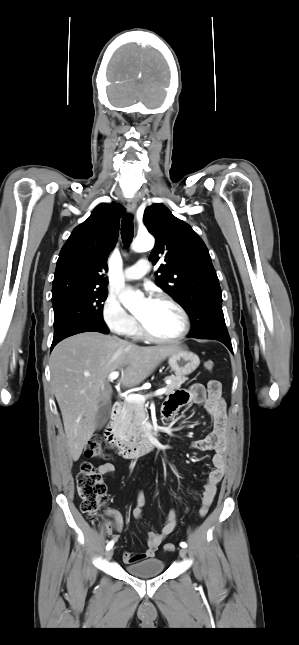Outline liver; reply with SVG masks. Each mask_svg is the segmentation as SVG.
<instances>
[{
  "instance_id": "liver-1",
  "label": "liver",
  "mask_w": 299,
  "mask_h": 645,
  "mask_svg": "<svg viewBox=\"0 0 299 645\" xmlns=\"http://www.w3.org/2000/svg\"><path fill=\"white\" fill-rule=\"evenodd\" d=\"M180 349L177 344L137 346L98 332L78 334L55 346L50 356L51 385L74 461L97 427L99 407L110 400L109 374L120 371L118 383L137 386Z\"/></svg>"
}]
</instances>
